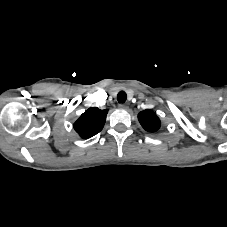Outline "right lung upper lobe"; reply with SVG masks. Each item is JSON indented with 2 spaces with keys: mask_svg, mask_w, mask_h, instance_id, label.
<instances>
[{
  "mask_svg": "<svg viewBox=\"0 0 227 227\" xmlns=\"http://www.w3.org/2000/svg\"><path fill=\"white\" fill-rule=\"evenodd\" d=\"M107 113L97 107L89 108L74 123L75 131L84 139L96 135L104 127Z\"/></svg>",
  "mask_w": 227,
  "mask_h": 227,
  "instance_id": "cb5924a9",
  "label": "right lung upper lobe"
}]
</instances>
